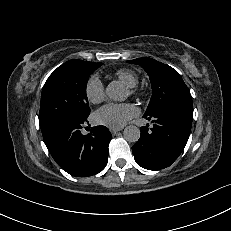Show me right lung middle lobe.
Segmentation results:
<instances>
[{
	"label": "right lung middle lobe",
	"mask_w": 231,
	"mask_h": 231,
	"mask_svg": "<svg viewBox=\"0 0 231 231\" xmlns=\"http://www.w3.org/2000/svg\"><path fill=\"white\" fill-rule=\"evenodd\" d=\"M101 65L69 60L49 76L41 95L39 124L42 133L62 120L89 116L86 85L89 76Z\"/></svg>",
	"instance_id": "dd1d6c3e"
}]
</instances>
